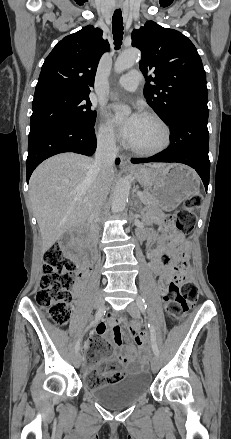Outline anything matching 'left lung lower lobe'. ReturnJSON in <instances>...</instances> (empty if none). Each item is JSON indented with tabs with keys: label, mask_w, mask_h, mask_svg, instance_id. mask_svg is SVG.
Masks as SVG:
<instances>
[{
	"label": "left lung lower lobe",
	"mask_w": 231,
	"mask_h": 439,
	"mask_svg": "<svg viewBox=\"0 0 231 439\" xmlns=\"http://www.w3.org/2000/svg\"><path fill=\"white\" fill-rule=\"evenodd\" d=\"M208 107H187L173 114L168 125L171 128L170 146L159 154L142 159H131L132 163L178 162L196 170L205 189L209 184L210 161Z\"/></svg>",
	"instance_id": "left-lung-lower-lobe-1"
}]
</instances>
